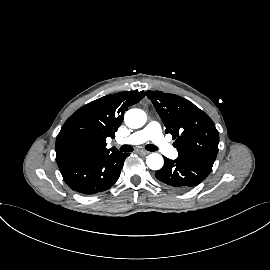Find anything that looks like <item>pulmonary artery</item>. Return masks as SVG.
Wrapping results in <instances>:
<instances>
[{"label": "pulmonary artery", "instance_id": "pulmonary-artery-1", "mask_svg": "<svg viewBox=\"0 0 270 270\" xmlns=\"http://www.w3.org/2000/svg\"><path fill=\"white\" fill-rule=\"evenodd\" d=\"M152 141L164 155L170 158L177 156L176 149L166 141L162 134L161 126L156 121L149 122L143 129L133 133L127 138L119 139L120 143L141 144Z\"/></svg>", "mask_w": 270, "mask_h": 270}]
</instances>
